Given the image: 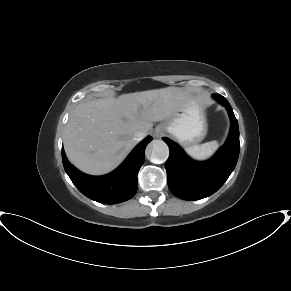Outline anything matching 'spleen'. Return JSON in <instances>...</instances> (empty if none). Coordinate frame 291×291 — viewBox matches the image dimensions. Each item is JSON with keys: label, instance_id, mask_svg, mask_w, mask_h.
<instances>
[{"label": "spleen", "instance_id": "spleen-1", "mask_svg": "<svg viewBox=\"0 0 291 291\" xmlns=\"http://www.w3.org/2000/svg\"><path fill=\"white\" fill-rule=\"evenodd\" d=\"M219 144L216 140L203 143L201 145H192L185 149L186 153L196 160H206L211 157L218 149Z\"/></svg>", "mask_w": 291, "mask_h": 291}]
</instances>
